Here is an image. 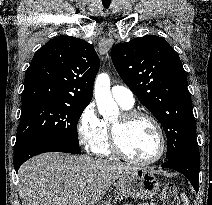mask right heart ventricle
I'll list each match as a JSON object with an SVG mask.
<instances>
[{
  "mask_svg": "<svg viewBox=\"0 0 212 205\" xmlns=\"http://www.w3.org/2000/svg\"><path fill=\"white\" fill-rule=\"evenodd\" d=\"M121 105V104H120ZM124 109L128 110L130 107L121 105ZM109 125L110 123L107 120H101V133L98 141L91 148V151L101 157H112L114 153L110 148L109 143Z\"/></svg>",
  "mask_w": 212,
  "mask_h": 205,
  "instance_id": "e07e8e85",
  "label": "right heart ventricle"
}]
</instances>
